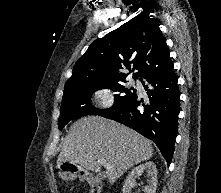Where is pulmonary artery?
<instances>
[{
	"mask_svg": "<svg viewBox=\"0 0 221 193\" xmlns=\"http://www.w3.org/2000/svg\"><path fill=\"white\" fill-rule=\"evenodd\" d=\"M132 82H133V83H138V82H137V81H135V80H133Z\"/></svg>",
	"mask_w": 221,
	"mask_h": 193,
	"instance_id": "e3ab8cb5",
	"label": "pulmonary artery"
}]
</instances>
